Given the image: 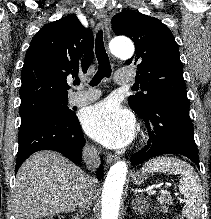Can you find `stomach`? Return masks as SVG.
<instances>
[{"instance_id": "1", "label": "stomach", "mask_w": 211, "mask_h": 219, "mask_svg": "<svg viewBox=\"0 0 211 219\" xmlns=\"http://www.w3.org/2000/svg\"><path fill=\"white\" fill-rule=\"evenodd\" d=\"M147 179V175L144 172H134L132 174V182L136 185L143 184Z\"/></svg>"}]
</instances>
